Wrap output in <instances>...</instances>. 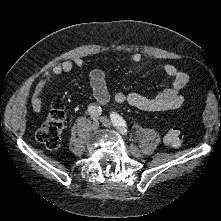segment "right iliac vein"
I'll return each instance as SVG.
<instances>
[{
	"mask_svg": "<svg viewBox=\"0 0 221 221\" xmlns=\"http://www.w3.org/2000/svg\"><path fill=\"white\" fill-rule=\"evenodd\" d=\"M99 128V121L95 119L92 123V129L97 130Z\"/></svg>",
	"mask_w": 221,
	"mask_h": 221,
	"instance_id": "63e3f726",
	"label": "right iliac vein"
}]
</instances>
